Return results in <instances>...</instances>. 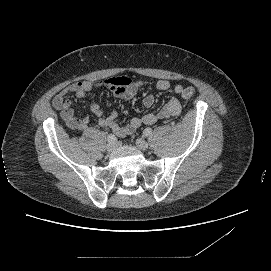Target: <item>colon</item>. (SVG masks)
Here are the masks:
<instances>
[{
  "label": "colon",
  "instance_id": "obj_1",
  "mask_svg": "<svg viewBox=\"0 0 271 271\" xmlns=\"http://www.w3.org/2000/svg\"><path fill=\"white\" fill-rule=\"evenodd\" d=\"M195 92L196 91H195V89L193 87H186L182 91V97L184 99H189V98L194 96Z\"/></svg>",
  "mask_w": 271,
  "mask_h": 271
}]
</instances>
